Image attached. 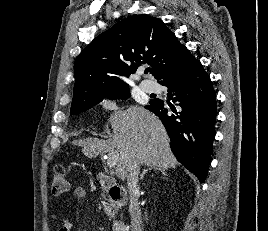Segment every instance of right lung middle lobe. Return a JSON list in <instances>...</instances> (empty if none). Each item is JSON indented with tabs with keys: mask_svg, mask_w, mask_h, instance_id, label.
<instances>
[{
	"mask_svg": "<svg viewBox=\"0 0 268 231\" xmlns=\"http://www.w3.org/2000/svg\"><path fill=\"white\" fill-rule=\"evenodd\" d=\"M130 96L129 89L123 88L116 90L102 98L90 101H82L71 105V114L76 115L83 111H86L93 107L94 105L100 103L104 98L108 97L111 99H127Z\"/></svg>",
	"mask_w": 268,
	"mask_h": 231,
	"instance_id": "1",
	"label": "right lung middle lobe"
}]
</instances>
